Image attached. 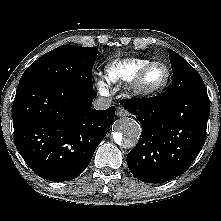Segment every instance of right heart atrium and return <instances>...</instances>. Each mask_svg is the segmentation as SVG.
Returning a JSON list of instances; mask_svg holds the SVG:
<instances>
[{
	"label": "right heart atrium",
	"instance_id": "d8ad5b80",
	"mask_svg": "<svg viewBox=\"0 0 221 221\" xmlns=\"http://www.w3.org/2000/svg\"><path fill=\"white\" fill-rule=\"evenodd\" d=\"M97 86H98V88H99L100 91L105 90V87H104V84H103L102 81H98V82H97Z\"/></svg>",
	"mask_w": 221,
	"mask_h": 221
}]
</instances>
